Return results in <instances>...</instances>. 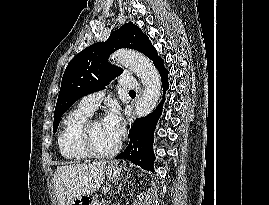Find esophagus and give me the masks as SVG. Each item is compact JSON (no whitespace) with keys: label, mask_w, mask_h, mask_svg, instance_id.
Instances as JSON below:
<instances>
[{"label":"esophagus","mask_w":269,"mask_h":205,"mask_svg":"<svg viewBox=\"0 0 269 205\" xmlns=\"http://www.w3.org/2000/svg\"><path fill=\"white\" fill-rule=\"evenodd\" d=\"M141 92H142V88L140 87V89H139V95L141 94ZM133 122V116H131L130 118H129V123H130V126H131V123Z\"/></svg>","instance_id":"esophagus-1"}]
</instances>
